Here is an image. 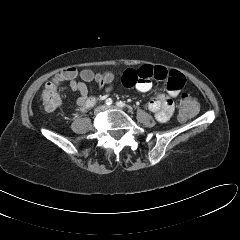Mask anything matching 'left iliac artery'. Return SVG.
<instances>
[{
	"label": "left iliac artery",
	"instance_id": "1",
	"mask_svg": "<svg viewBox=\"0 0 240 240\" xmlns=\"http://www.w3.org/2000/svg\"><path fill=\"white\" fill-rule=\"evenodd\" d=\"M116 105H117L118 107H122V108L127 107V105L125 104V102H122V101H118V102L116 103Z\"/></svg>",
	"mask_w": 240,
	"mask_h": 240
}]
</instances>
